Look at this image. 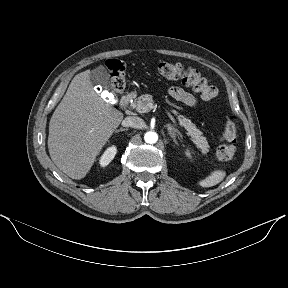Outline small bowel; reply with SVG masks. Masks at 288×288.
Here are the masks:
<instances>
[{
	"mask_svg": "<svg viewBox=\"0 0 288 288\" xmlns=\"http://www.w3.org/2000/svg\"><path fill=\"white\" fill-rule=\"evenodd\" d=\"M169 95L175 99L176 101L186 105V106H195L197 103V100L193 94L190 92L185 91L184 89L180 87H170L168 90Z\"/></svg>",
	"mask_w": 288,
	"mask_h": 288,
	"instance_id": "c3829d8e",
	"label": "small bowel"
}]
</instances>
